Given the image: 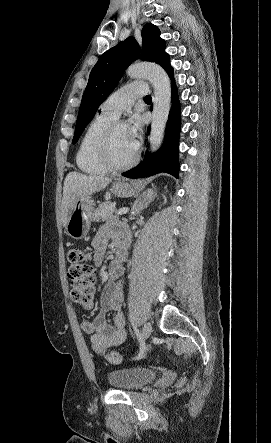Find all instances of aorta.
Here are the masks:
<instances>
[{
    "mask_svg": "<svg viewBox=\"0 0 271 443\" xmlns=\"http://www.w3.org/2000/svg\"><path fill=\"white\" fill-rule=\"evenodd\" d=\"M129 78H147L154 88L151 132L149 136L151 152L159 150L171 108V84L163 68L157 64H131L126 70Z\"/></svg>",
    "mask_w": 271,
    "mask_h": 443,
    "instance_id": "aorta-1",
    "label": "aorta"
}]
</instances>
